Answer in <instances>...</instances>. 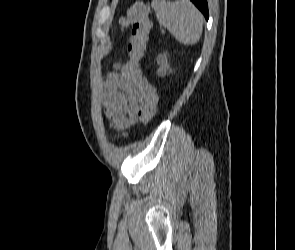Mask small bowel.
Wrapping results in <instances>:
<instances>
[{
    "mask_svg": "<svg viewBox=\"0 0 295 250\" xmlns=\"http://www.w3.org/2000/svg\"><path fill=\"white\" fill-rule=\"evenodd\" d=\"M120 68L121 64H116V71L106 78L102 108L110 128L125 134L138 120H142V104L139 91L122 77Z\"/></svg>",
    "mask_w": 295,
    "mask_h": 250,
    "instance_id": "1",
    "label": "small bowel"
}]
</instances>
